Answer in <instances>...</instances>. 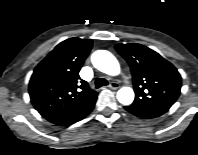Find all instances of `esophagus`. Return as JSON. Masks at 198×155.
Masks as SVG:
<instances>
[{
  "label": "esophagus",
  "instance_id": "esophagus-1",
  "mask_svg": "<svg viewBox=\"0 0 198 155\" xmlns=\"http://www.w3.org/2000/svg\"><path fill=\"white\" fill-rule=\"evenodd\" d=\"M109 87H110L111 89H117V88L119 87V85H118V83H116V82H111V83L109 84Z\"/></svg>",
  "mask_w": 198,
  "mask_h": 155
}]
</instances>
